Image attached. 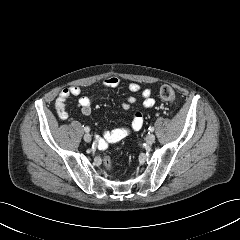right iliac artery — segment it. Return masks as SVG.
Listing matches in <instances>:
<instances>
[{
  "label": "right iliac artery",
  "mask_w": 240,
  "mask_h": 240,
  "mask_svg": "<svg viewBox=\"0 0 240 240\" xmlns=\"http://www.w3.org/2000/svg\"><path fill=\"white\" fill-rule=\"evenodd\" d=\"M84 131L85 132H89L90 131V128L88 126L84 127Z\"/></svg>",
  "instance_id": "1"
}]
</instances>
